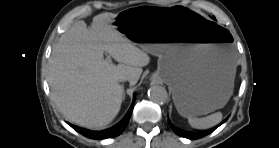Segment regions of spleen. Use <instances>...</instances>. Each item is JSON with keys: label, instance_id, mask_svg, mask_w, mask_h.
Returning a JSON list of instances; mask_svg holds the SVG:
<instances>
[{"label": "spleen", "instance_id": "spleen-1", "mask_svg": "<svg viewBox=\"0 0 279 148\" xmlns=\"http://www.w3.org/2000/svg\"><path fill=\"white\" fill-rule=\"evenodd\" d=\"M222 120V113L216 112L209 116L203 118H195V117H188L189 124L197 129H209L217 124H219Z\"/></svg>", "mask_w": 279, "mask_h": 148}]
</instances>
